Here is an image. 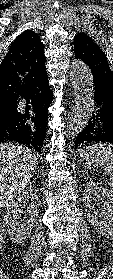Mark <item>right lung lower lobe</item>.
<instances>
[{"label":"right lung lower lobe","mask_w":113,"mask_h":279,"mask_svg":"<svg viewBox=\"0 0 113 279\" xmlns=\"http://www.w3.org/2000/svg\"><path fill=\"white\" fill-rule=\"evenodd\" d=\"M24 97L33 100L30 108L22 113L17 111L16 104L13 106L12 116L0 122V142L15 141L41 153L47 131L48 108L53 99L47 74Z\"/></svg>","instance_id":"right-lung-lower-lobe-1"}]
</instances>
